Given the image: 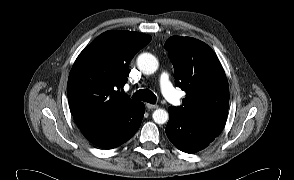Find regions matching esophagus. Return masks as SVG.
Here are the masks:
<instances>
[{
    "mask_svg": "<svg viewBox=\"0 0 294 180\" xmlns=\"http://www.w3.org/2000/svg\"><path fill=\"white\" fill-rule=\"evenodd\" d=\"M146 106H147L148 109H156V108H158V105H156V104L147 103Z\"/></svg>",
    "mask_w": 294,
    "mask_h": 180,
    "instance_id": "34e87169",
    "label": "esophagus"
}]
</instances>
